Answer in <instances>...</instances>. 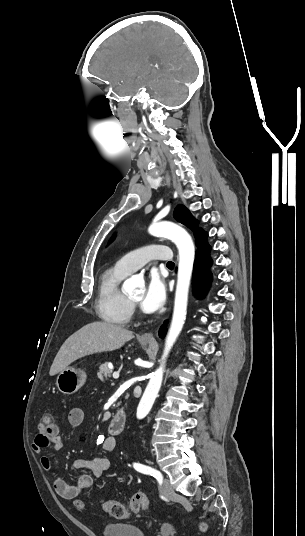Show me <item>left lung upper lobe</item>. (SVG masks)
Listing matches in <instances>:
<instances>
[{"label": "left lung upper lobe", "mask_w": 305, "mask_h": 536, "mask_svg": "<svg viewBox=\"0 0 305 536\" xmlns=\"http://www.w3.org/2000/svg\"><path fill=\"white\" fill-rule=\"evenodd\" d=\"M173 215L178 222L193 230L196 238L204 232L201 228L197 227V221L185 206L178 205L175 208Z\"/></svg>", "instance_id": "1"}]
</instances>
